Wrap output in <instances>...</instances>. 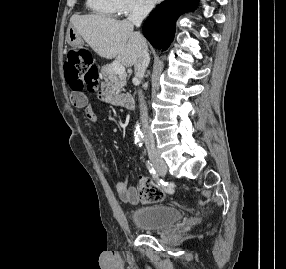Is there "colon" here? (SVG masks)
Instances as JSON below:
<instances>
[{
	"label": "colon",
	"mask_w": 286,
	"mask_h": 269,
	"mask_svg": "<svg viewBox=\"0 0 286 269\" xmlns=\"http://www.w3.org/2000/svg\"><path fill=\"white\" fill-rule=\"evenodd\" d=\"M65 75L73 90H94L98 82V71L91 52L86 48L70 49L64 64ZM138 193L147 202H159L163 199V191L154 185L146 176L138 180Z\"/></svg>",
	"instance_id": "1"
}]
</instances>
